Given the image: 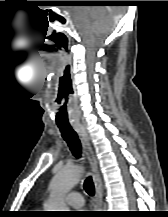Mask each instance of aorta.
I'll return each mask as SVG.
<instances>
[{
    "mask_svg": "<svg viewBox=\"0 0 168 217\" xmlns=\"http://www.w3.org/2000/svg\"><path fill=\"white\" fill-rule=\"evenodd\" d=\"M82 168L70 166L61 168L50 182V196L44 207L46 211H69L65 195L80 181Z\"/></svg>",
    "mask_w": 168,
    "mask_h": 217,
    "instance_id": "aorta-1",
    "label": "aorta"
}]
</instances>
